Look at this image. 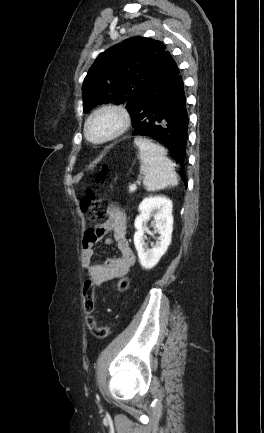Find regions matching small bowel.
Returning a JSON list of instances; mask_svg holds the SVG:
<instances>
[{"mask_svg": "<svg viewBox=\"0 0 264 433\" xmlns=\"http://www.w3.org/2000/svg\"><path fill=\"white\" fill-rule=\"evenodd\" d=\"M109 232L112 237L107 240V243H114L119 254L108 258L104 263L95 262L93 259L94 245ZM126 233V216L114 204H110L107 208L106 222L88 229L85 233L81 246L82 267L96 286L99 287L110 280L127 275L135 264V255L129 245Z\"/></svg>", "mask_w": 264, "mask_h": 433, "instance_id": "obj_1", "label": "small bowel"}]
</instances>
